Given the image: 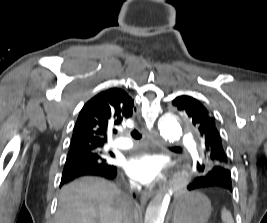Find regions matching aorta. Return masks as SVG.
<instances>
[{
	"label": "aorta",
	"instance_id": "762f6f07",
	"mask_svg": "<svg viewBox=\"0 0 267 223\" xmlns=\"http://www.w3.org/2000/svg\"><path fill=\"white\" fill-rule=\"evenodd\" d=\"M160 135L169 141L179 140L182 136V128L178 116L169 114L164 116L159 122ZM172 191L167 194L156 195L149 203L145 223H164V218L171 201Z\"/></svg>",
	"mask_w": 267,
	"mask_h": 223
}]
</instances>
